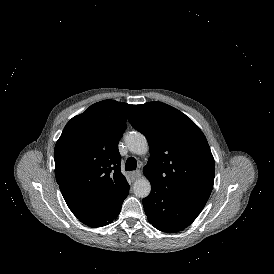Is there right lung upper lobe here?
<instances>
[{
    "mask_svg": "<svg viewBox=\"0 0 274 274\" xmlns=\"http://www.w3.org/2000/svg\"><path fill=\"white\" fill-rule=\"evenodd\" d=\"M133 105L104 100L72 118L58 139L55 176L72 213L91 226L107 218L129 188L118 142Z\"/></svg>",
    "mask_w": 274,
    "mask_h": 274,
    "instance_id": "obj_1",
    "label": "right lung upper lobe"
}]
</instances>
